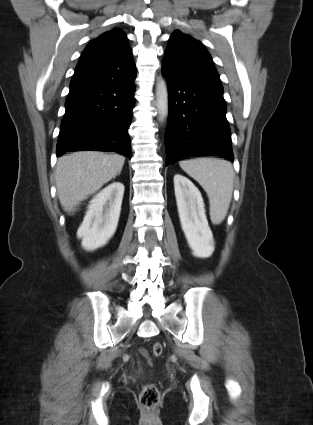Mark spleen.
<instances>
[{"label": "spleen", "mask_w": 313, "mask_h": 425, "mask_svg": "<svg viewBox=\"0 0 313 425\" xmlns=\"http://www.w3.org/2000/svg\"><path fill=\"white\" fill-rule=\"evenodd\" d=\"M179 165L206 191L210 219L213 224H220L227 215L232 199L235 176L232 164L217 158H197L180 161Z\"/></svg>", "instance_id": "3e777b00"}]
</instances>
